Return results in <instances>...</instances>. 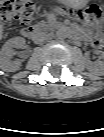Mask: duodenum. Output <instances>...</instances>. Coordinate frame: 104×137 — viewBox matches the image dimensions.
Returning a JSON list of instances; mask_svg holds the SVG:
<instances>
[{"instance_id":"410a0bca","label":"duodenum","mask_w":104,"mask_h":137,"mask_svg":"<svg viewBox=\"0 0 104 137\" xmlns=\"http://www.w3.org/2000/svg\"><path fill=\"white\" fill-rule=\"evenodd\" d=\"M36 33H37V29L32 26H27L22 29V34L25 37H33L36 35ZM75 38L79 39V40L86 39V35H85L84 31L82 29H80L75 33Z\"/></svg>"}]
</instances>
